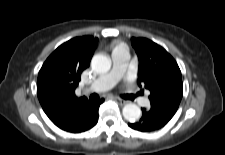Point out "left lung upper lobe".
Instances as JSON below:
<instances>
[{
    "mask_svg": "<svg viewBox=\"0 0 225 155\" xmlns=\"http://www.w3.org/2000/svg\"><path fill=\"white\" fill-rule=\"evenodd\" d=\"M139 58L138 84L150 90L151 108L176 113L183 96L181 71L173 57L146 38H132Z\"/></svg>",
    "mask_w": 225,
    "mask_h": 155,
    "instance_id": "left-lung-upper-lobe-1",
    "label": "left lung upper lobe"
}]
</instances>
